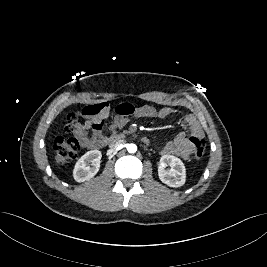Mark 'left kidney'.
<instances>
[{"label":"left kidney","instance_id":"1","mask_svg":"<svg viewBox=\"0 0 267 267\" xmlns=\"http://www.w3.org/2000/svg\"><path fill=\"white\" fill-rule=\"evenodd\" d=\"M170 166V170L166 171L165 167ZM159 179L170 187H180L186 181V169L184 163L177 157L172 155H164L160 159L158 167Z\"/></svg>","mask_w":267,"mask_h":267}]
</instances>
